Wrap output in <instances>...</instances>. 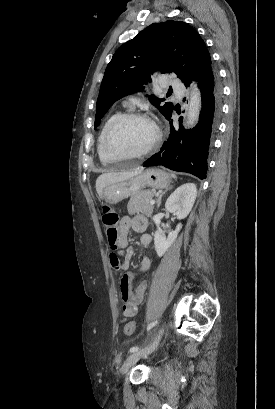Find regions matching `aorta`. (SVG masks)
<instances>
[{"instance_id":"762f6f07","label":"aorta","mask_w":275,"mask_h":409,"mask_svg":"<svg viewBox=\"0 0 275 409\" xmlns=\"http://www.w3.org/2000/svg\"><path fill=\"white\" fill-rule=\"evenodd\" d=\"M189 106L187 108V122L186 126L191 128L197 122L201 110V94L197 84H192Z\"/></svg>"}]
</instances>
